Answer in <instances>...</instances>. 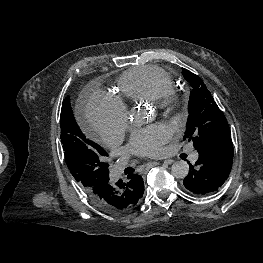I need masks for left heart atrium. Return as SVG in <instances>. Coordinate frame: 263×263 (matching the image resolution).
<instances>
[{"mask_svg": "<svg viewBox=\"0 0 263 263\" xmlns=\"http://www.w3.org/2000/svg\"><path fill=\"white\" fill-rule=\"evenodd\" d=\"M170 137L171 131L167 126L151 125L133 133L128 149L141 157H154L161 153Z\"/></svg>", "mask_w": 263, "mask_h": 263, "instance_id": "39dd6f15", "label": "left heart atrium"}]
</instances>
